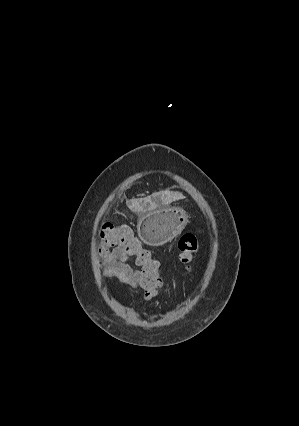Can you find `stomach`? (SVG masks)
Wrapping results in <instances>:
<instances>
[{
	"label": "stomach",
	"mask_w": 299,
	"mask_h": 426,
	"mask_svg": "<svg viewBox=\"0 0 299 426\" xmlns=\"http://www.w3.org/2000/svg\"><path fill=\"white\" fill-rule=\"evenodd\" d=\"M188 222V215L182 208L161 207L139 218L137 232L144 243L160 246L177 237Z\"/></svg>",
	"instance_id": "0dacf381"
}]
</instances>
